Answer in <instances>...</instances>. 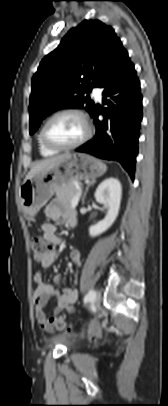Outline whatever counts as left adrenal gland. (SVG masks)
<instances>
[{
    "instance_id": "left-adrenal-gland-1",
    "label": "left adrenal gland",
    "mask_w": 168,
    "mask_h": 406,
    "mask_svg": "<svg viewBox=\"0 0 168 406\" xmlns=\"http://www.w3.org/2000/svg\"><path fill=\"white\" fill-rule=\"evenodd\" d=\"M94 183H95V180H92V181L87 185V187H86V189H85V192H84V195H83V197H82V204H84V200H85V197H86V194H87V192H88L89 187H90L92 184H94Z\"/></svg>"
}]
</instances>
